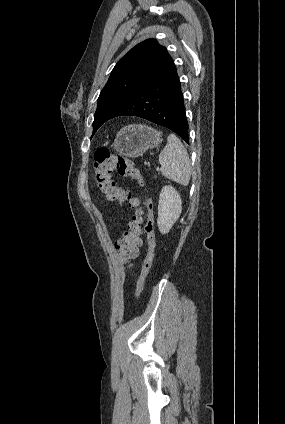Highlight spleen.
Returning <instances> with one entry per match:
<instances>
[{"instance_id": "1", "label": "spleen", "mask_w": 285, "mask_h": 424, "mask_svg": "<svg viewBox=\"0 0 285 424\" xmlns=\"http://www.w3.org/2000/svg\"><path fill=\"white\" fill-rule=\"evenodd\" d=\"M162 175L181 185H188L191 161L184 145L174 134L167 137V145L159 155Z\"/></svg>"}]
</instances>
